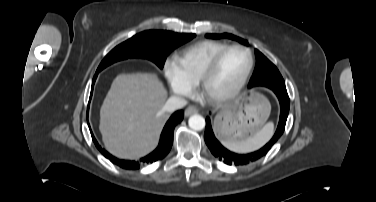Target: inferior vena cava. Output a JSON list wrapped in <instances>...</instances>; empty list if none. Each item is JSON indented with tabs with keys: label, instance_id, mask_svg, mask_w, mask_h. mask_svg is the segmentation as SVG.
Listing matches in <instances>:
<instances>
[{
	"label": "inferior vena cava",
	"instance_id": "602c4592",
	"mask_svg": "<svg viewBox=\"0 0 376 202\" xmlns=\"http://www.w3.org/2000/svg\"><path fill=\"white\" fill-rule=\"evenodd\" d=\"M187 104V101L179 96H171L164 104L162 110L164 112H174L177 109L183 108Z\"/></svg>",
	"mask_w": 376,
	"mask_h": 202
}]
</instances>
